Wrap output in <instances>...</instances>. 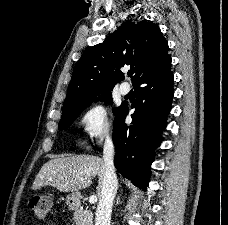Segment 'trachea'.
<instances>
[{
    "mask_svg": "<svg viewBox=\"0 0 228 225\" xmlns=\"http://www.w3.org/2000/svg\"><path fill=\"white\" fill-rule=\"evenodd\" d=\"M133 73H134V71H132V70L129 71V72H128V76H129V77H132Z\"/></svg>",
    "mask_w": 228,
    "mask_h": 225,
    "instance_id": "3493384b",
    "label": "trachea"
}]
</instances>
